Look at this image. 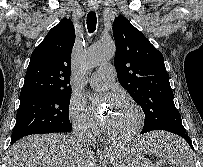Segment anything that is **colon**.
Listing matches in <instances>:
<instances>
[{
  "label": "colon",
  "mask_w": 203,
  "mask_h": 167,
  "mask_svg": "<svg viewBox=\"0 0 203 167\" xmlns=\"http://www.w3.org/2000/svg\"><path fill=\"white\" fill-rule=\"evenodd\" d=\"M157 167H173V166L167 162L162 161L157 164Z\"/></svg>",
  "instance_id": "5ec220e1"
}]
</instances>
